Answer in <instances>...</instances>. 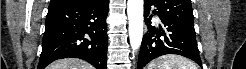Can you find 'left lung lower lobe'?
<instances>
[{
	"label": "left lung lower lobe",
	"mask_w": 246,
	"mask_h": 69,
	"mask_svg": "<svg viewBox=\"0 0 246 69\" xmlns=\"http://www.w3.org/2000/svg\"><path fill=\"white\" fill-rule=\"evenodd\" d=\"M152 5L151 0H144V21L149 27L141 43L138 69H143L151 60L165 54L182 55L202 65L194 25L174 21L157 10L161 24L155 28L151 26L152 15L149 17Z\"/></svg>",
	"instance_id": "left-lung-lower-lobe-1"
}]
</instances>
